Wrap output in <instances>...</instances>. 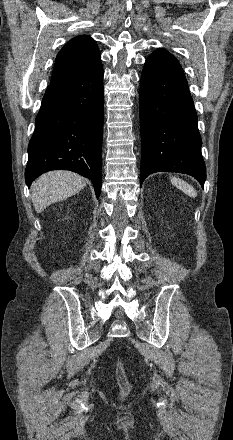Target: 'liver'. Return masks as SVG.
Listing matches in <instances>:
<instances>
[{
  "label": "liver",
  "instance_id": "obj_1",
  "mask_svg": "<svg viewBox=\"0 0 233 440\" xmlns=\"http://www.w3.org/2000/svg\"><path fill=\"white\" fill-rule=\"evenodd\" d=\"M85 185L86 179L70 171H51L41 175L31 188L35 211L41 213L51 204L80 192Z\"/></svg>",
  "mask_w": 233,
  "mask_h": 440
}]
</instances>
